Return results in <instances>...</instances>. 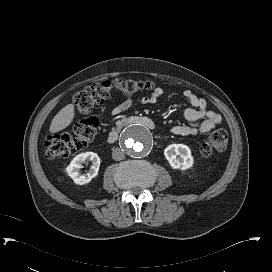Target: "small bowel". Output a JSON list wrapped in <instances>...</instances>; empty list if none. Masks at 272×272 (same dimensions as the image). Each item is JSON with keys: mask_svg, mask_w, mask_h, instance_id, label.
I'll use <instances>...</instances> for the list:
<instances>
[{"mask_svg": "<svg viewBox=\"0 0 272 272\" xmlns=\"http://www.w3.org/2000/svg\"><path fill=\"white\" fill-rule=\"evenodd\" d=\"M163 91L161 88H156L149 96L141 99L142 104H155L161 97ZM184 97L190 104L183 111L184 118L189 122V125H178L172 128V133L178 136L193 135L196 133H206L212 129L222 125L223 120L221 115L212 111L205 99L197 96L191 90L184 91ZM132 105L131 100H125L114 109V114L122 113L128 110Z\"/></svg>", "mask_w": 272, "mask_h": 272, "instance_id": "c3829d8e", "label": "small bowel"}]
</instances>
